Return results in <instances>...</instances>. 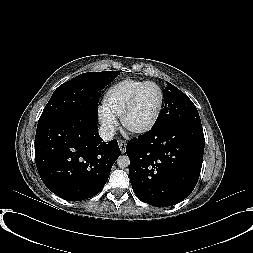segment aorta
<instances>
[{
	"mask_svg": "<svg viewBox=\"0 0 253 253\" xmlns=\"http://www.w3.org/2000/svg\"><path fill=\"white\" fill-rule=\"evenodd\" d=\"M117 165L120 168H126L130 165V159L127 155H121L117 158Z\"/></svg>",
	"mask_w": 253,
	"mask_h": 253,
	"instance_id": "762f6f07",
	"label": "aorta"
}]
</instances>
